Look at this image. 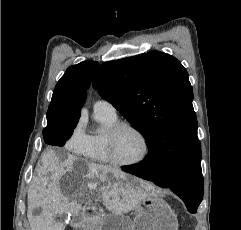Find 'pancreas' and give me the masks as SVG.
<instances>
[{"instance_id":"1","label":"pancreas","mask_w":241,"mask_h":230,"mask_svg":"<svg viewBox=\"0 0 241 230\" xmlns=\"http://www.w3.org/2000/svg\"><path fill=\"white\" fill-rule=\"evenodd\" d=\"M102 222V219L98 216H92L89 220H87L84 224V230H94V228Z\"/></svg>"}]
</instances>
